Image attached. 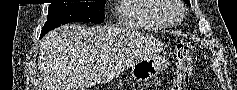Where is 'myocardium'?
Wrapping results in <instances>:
<instances>
[{
	"label": "myocardium",
	"instance_id": "f54148a6",
	"mask_svg": "<svg viewBox=\"0 0 237 90\" xmlns=\"http://www.w3.org/2000/svg\"><path fill=\"white\" fill-rule=\"evenodd\" d=\"M180 5V4H179ZM161 21L169 28H177L183 22L182 11H171V14H162Z\"/></svg>",
	"mask_w": 237,
	"mask_h": 90
}]
</instances>
